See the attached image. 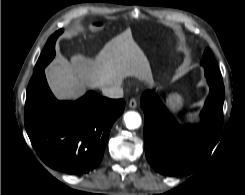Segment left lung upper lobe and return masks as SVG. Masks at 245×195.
Here are the masks:
<instances>
[{"mask_svg":"<svg viewBox=\"0 0 245 195\" xmlns=\"http://www.w3.org/2000/svg\"><path fill=\"white\" fill-rule=\"evenodd\" d=\"M201 65L205 69V76L218 81H222V76L218 68L217 62L209 48L204 52Z\"/></svg>","mask_w":245,"mask_h":195,"instance_id":"obj_1","label":"left lung upper lobe"}]
</instances>
